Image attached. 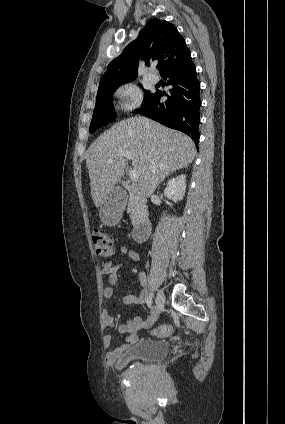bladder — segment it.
Masks as SVG:
<instances>
[{"instance_id":"bladder-1","label":"bladder","mask_w":285,"mask_h":424,"mask_svg":"<svg viewBox=\"0 0 285 424\" xmlns=\"http://www.w3.org/2000/svg\"><path fill=\"white\" fill-rule=\"evenodd\" d=\"M168 354V346L159 340H143L125 350L117 360L118 367L134 363L158 362Z\"/></svg>"}]
</instances>
